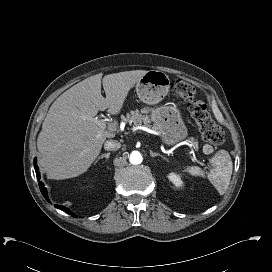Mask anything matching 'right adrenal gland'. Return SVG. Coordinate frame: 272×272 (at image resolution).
I'll list each match as a JSON object with an SVG mask.
<instances>
[{
  "label": "right adrenal gland",
  "mask_w": 272,
  "mask_h": 272,
  "mask_svg": "<svg viewBox=\"0 0 272 272\" xmlns=\"http://www.w3.org/2000/svg\"><path fill=\"white\" fill-rule=\"evenodd\" d=\"M109 156H110V153L102 154L101 156H99V157L97 158V160L95 161V163H97V162H98L100 159H102V158H106V159L108 160Z\"/></svg>",
  "instance_id": "obj_1"
}]
</instances>
